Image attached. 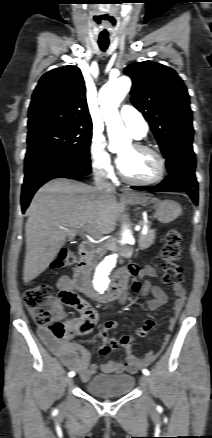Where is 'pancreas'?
I'll return each instance as SVG.
<instances>
[{"mask_svg":"<svg viewBox=\"0 0 212 438\" xmlns=\"http://www.w3.org/2000/svg\"><path fill=\"white\" fill-rule=\"evenodd\" d=\"M155 239V232L154 230L148 229L147 233L140 234L138 245L141 250L149 248L153 243Z\"/></svg>","mask_w":212,"mask_h":438,"instance_id":"pancreas-1","label":"pancreas"}]
</instances>
